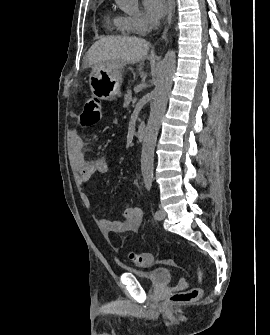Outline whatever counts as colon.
Masks as SVG:
<instances>
[{
  "label": "colon",
  "mask_w": 270,
  "mask_h": 335,
  "mask_svg": "<svg viewBox=\"0 0 270 335\" xmlns=\"http://www.w3.org/2000/svg\"><path fill=\"white\" fill-rule=\"evenodd\" d=\"M103 115V106L101 102L95 97H88L87 102L81 112V121L84 128H89L97 124ZM127 257L131 263L138 266H148L151 264L152 255L148 252L134 253L127 252ZM197 285L188 289L187 291L176 293L172 295L171 302L175 304H183L197 299L201 294L202 275L200 272L196 274Z\"/></svg>",
  "instance_id": "5ec220e1"
}]
</instances>
